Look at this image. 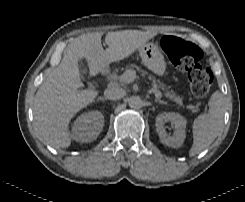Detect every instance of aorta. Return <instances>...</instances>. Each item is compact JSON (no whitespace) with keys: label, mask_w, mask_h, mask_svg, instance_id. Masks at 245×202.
<instances>
[{"label":"aorta","mask_w":245,"mask_h":202,"mask_svg":"<svg viewBox=\"0 0 245 202\" xmlns=\"http://www.w3.org/2000/svg\"><path fill=\"white\" fill-rule=\"evenodd\" d=\"M128 104L132 109H140L143 106V100L139 96H133L128 100Z\"/></svg>","instance_id":"762f6f07"}]
</instances>
